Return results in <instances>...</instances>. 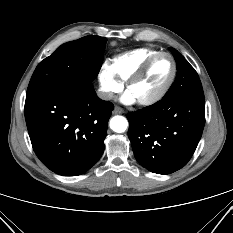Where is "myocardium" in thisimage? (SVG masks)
<instances>
[{
    "label": "myocardium",
    "instance_id": "1",
    "mask_svg": "<svg viewBox=\"0 0 233 233\" xmlns=\"http://www.w3.org/2000/svg\"><path fill=\"white\" fill-rule=\"evenodd\" d=\"M168 57L172 63V73L168 81L153 95L148 98L137 100L140 105L148 106L152 105L159 100H161L166 93L169 91L171 86L173 85L176 75H177V64L173 56L167 52H158L157 54L150 57L127 81H126V89L129 90L131 86L135 83L142 80L146 74L148 73L151 66L154 62L160 57Z\"/></svg>",
    "mask_w": 233,
    "mask_h": 233
}]
</instances>
